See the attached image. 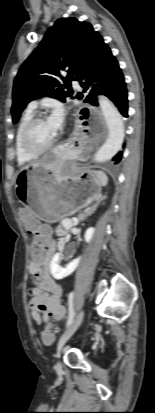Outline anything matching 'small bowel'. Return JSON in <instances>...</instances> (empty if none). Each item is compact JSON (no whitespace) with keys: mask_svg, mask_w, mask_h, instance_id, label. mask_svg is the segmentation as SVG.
Segmentation results:
<instances>
[{"mask_svg":"<svg viewBox=\"0 0 155 413\" xmlns=\"http://www.w3.org/2000/svg\"><path fill=\"white\" fill-rule=\"evenodd\" d=\"M15 212L21 218L26 231H38L45 240L47 251L42 261L33 259L28 267L29 274L34 278V287L30 290V310L32 320L40 324L53 319L64 318L66 310L61 303L62 287L50 275V264L55 251V243L51 237V229L46 225L45 218H32L34 211L24 205H17Z\"/></svg>","mask_w":155,"mask_h":413,"instance_id":"1","label":"small bowel"}]
</instances>
